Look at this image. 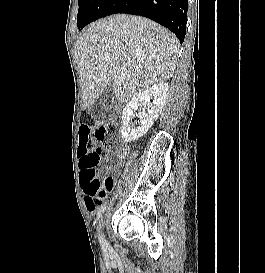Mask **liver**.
Instances as JSON below:
<instances>
[{
    "mask_svg": "<svg viewBox=\"0 0 265 273\" xmlns=\"http://www.w3.org/2000/svg\"><path fill=\"white\" fill-rule=\"evenodd\" d=\"M180 44L174 34L150 19L117 14L92 23L77 40L83 108L112 87L125 103L150 86L167 81ZM126 67L122 71V66Z\"/></svg>",
    "mask_w": 265,
    "mask_h": 273,
    "instance_id": "6515ba94",
    "label": "liver"
}]
</instances>
